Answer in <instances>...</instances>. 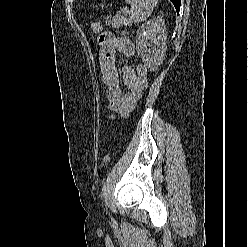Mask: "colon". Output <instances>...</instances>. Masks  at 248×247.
Returning a JSON list of instances; mask_svg holds the SVG:
<instances>
[{
  "label": "colon",
  "instance_id": "5ec220e1",
  "mask_svg": "<svg viewBox=\"0 0 248 247\" xmlns=\"http://www.w3.org/2000/svg\"><path fill=\"white\" fill-rule=\"evenodd\" d=\"M91 30L94 34H99L102 31V24L98 21L91 23ZM147 85V69L143 64L137 67V88L144 91Z\"/></svg>",
  "mask_w": 248,
  "mask_h": 247
}]
</instances>
